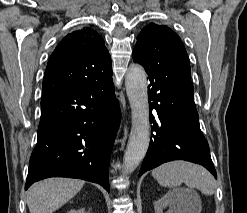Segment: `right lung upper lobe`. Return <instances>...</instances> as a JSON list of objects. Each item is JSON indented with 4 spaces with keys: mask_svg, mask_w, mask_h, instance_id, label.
I'll return each instance as SVG.
<instances>
[{
    "mask_svg": "<svg viewBox=\"0 0 247 213\" xmlns=\"http://www.w3.org/2000/svg\"><path fill=\"white\" fill-rule=\"evenodd\" d=\"M111 75V58L103 38L84 28L65 36L55 48L45 70L42 98Z\"/></svg>",
    "mask_w": 247,
    "mask_h": 213,
    "instance_id": "cb5924a9",
    "label": "right lung upper lobe"
}]
</instances>
